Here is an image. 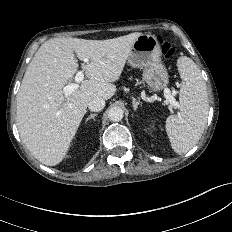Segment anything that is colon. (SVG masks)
<instances>
[{
    "label": "colon",
    "instance_id": "obj_1",
    "mask_svg": "<svg viewBox=\"0 0 232 232\" xmlns=\"http://www.w3.org/2000/svg\"><path fill=\"white\" fill-rule=\"evenodd\" d=\"M161 51L166 59L172 58L176 53V47L163 39H160Z\"/></svg>",
    "mask_w": 232,
    "mask_h": 232
}]
</instances>
